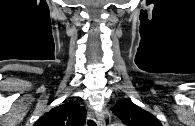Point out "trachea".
<instances>
[{
    "instance_id": "3493384b",
    "label": "trachea",
    "mask_w": 195,
    "mask_h": 126,
    "mask_svg": "<svg viewBox=\"0 0 195 126\" xmlns=\"http://www.w3.org/2000/svg\"><path fill=\"white\" fill-rule=\"evenodd\" d=\"M88 126H97L96 123L92 120L88 121Z\"/></svg>"
}]
</instances>
